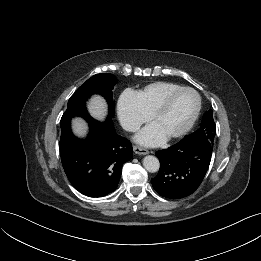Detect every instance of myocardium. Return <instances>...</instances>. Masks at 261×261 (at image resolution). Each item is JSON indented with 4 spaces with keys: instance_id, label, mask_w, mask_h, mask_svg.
I'll list each match as a JSON object with an SVG mask.
<instances>
[{
    "instance_id": "f54148a6",
    "label": "myocardium",
    "mask_w": 261,
    "mask_h": 261,
    "mask_svg": "<svg viewBox=\"0 0 261 261\" xmlns=\"http://www.w3.org/2000/svg\"><path fill=\"white\" fill-rule=\"evenodd\" d=\"M183 92H192L193 94H195V96L197 98L196 108H195L190 120L188 121V123L180 131L167 136L166 137L167 140H174V139L181 138L192 129V127L194 126V124L200 114L201 107H202V99H201L200 94L191 87H181V88L174 90V91L170 92L169 94H167L150 115V121L153 123L154 120L167 109V107L169 106L172 99L175 96H177Z\"/></svg>"
}]
</instances>
